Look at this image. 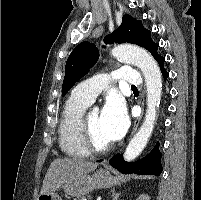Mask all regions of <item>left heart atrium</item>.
Returning a JSON list of instances; mask_svg holds the SVG:
<instances>
[{
  "label": "left heart atrium",
  "instance_id": "left-heart-atrium-1",
  "mask_svg": "<svg viewBox=\"0 0 201 200\" xmlns=\"http://www.w3.org/2000/svg\"><path fill=\"white\" fill-rule=\"evenodd\" d=\"M101 121L107 138L111 142L120 140L129 125L124 104L119 99H109L102 110Z\"/></svg>",
  "mask_w": 201,
  "mask_h": 200
}]
</instances>
